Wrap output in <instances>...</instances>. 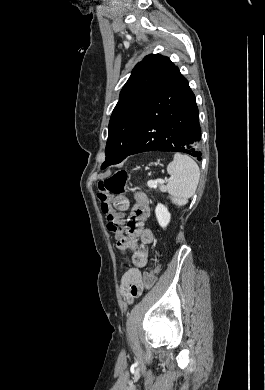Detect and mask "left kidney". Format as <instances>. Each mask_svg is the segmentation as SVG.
Listing matches in <instances>:
<instances>
[{"instance_id":"1","label":"left kidney","mask_w":265,"mask_h":390,"mask_svg":"<svg viewBox=\"0 0 265 390\" xmlns=\"http://www.w3.org/2000/svg\"><path fill=\"white\" fill-rule=\"evenodd\" d=\"M155 214L159 225L162 228H165L171 219V214L169 213L167 207L161 203L157 204L155 208Z\"/></svg>"}]
</instances>
